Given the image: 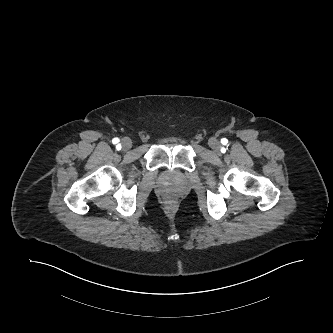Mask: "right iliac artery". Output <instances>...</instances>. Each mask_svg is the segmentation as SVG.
I'll list each match as a JSON object with an SVG mask.
<instances>
[{"mask_svg":"<svg viewBox=\"0 0 333 333\" xmlns=\"http://www.w3.org/2000/svg\"><path fill=\"white\" fill-rule=\"evenodd\" d=\"M119 139L118 138H114L113 140H112V142H113V144H117V143H119Z\"/></svg>","mask_w":333,"mask_h":333,"instance_id":"obj_1","label":"right iliac artery"}]
</instances>
